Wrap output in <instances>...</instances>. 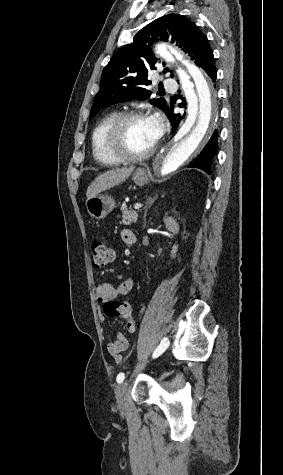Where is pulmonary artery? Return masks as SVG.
<instances>
[{"label":"pulmonary artery","mask_w":283,"mask_h":475,"mask_svg":"<svg viewBox=\"0 0 283 475\" xmlns=\"http://www.w3.org/2000/svg\"><path fill=\"white\" fill-rule=\"evenodd\" d=\"M165 86H167V85H165ZM170 86H171L172 88H175V87H176V84H175L174 82H171V83H170ZM169 92L172 94L174 91L171 89Z\"/></svg>","instance_id":"e3ab8cb5"}]
</instances>
